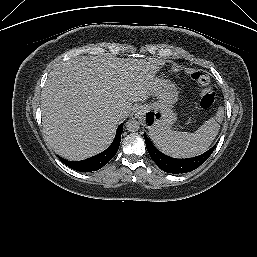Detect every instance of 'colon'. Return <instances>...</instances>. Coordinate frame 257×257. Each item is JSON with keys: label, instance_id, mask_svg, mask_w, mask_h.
Masks as SVG:
<instances>
[{"label": "colon", "instance_id": "colon-1", "mask_svg": "<svg viewBox=\"0 0 257 257\" xmlns=\"http://www.w3.org/2000/svg\"><path fill=\"white\" fill-rule=\"evenodd\" d=\"M191 79L200 86L199 91V105L203 109H209L213 106L216 95L217 88L212 83L210 78L201 72H193L191 74Z\"/></svg>", "mask_w": 257, "mask_h": 257}]
</instances>
